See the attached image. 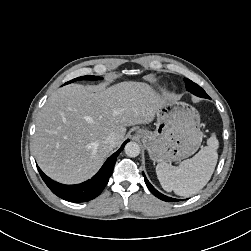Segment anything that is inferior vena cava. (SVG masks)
<instances>
[{
  "label": "inferior vena cava",
  "mask_w": 251,
  "mask_h": 251,
  "mask_svg": "<svg viewBox=\"0 0 251 251\" xmlns=\"http://www.w3.org/2000/svg\"><path fill=\"white\" fill-rule=\"evenodd\" d=\"M117 135L115 133H111L106 138V143L110 146H115L116 144Z\"/></svg>",
  "instance_id": "1"
}]
</instances>
